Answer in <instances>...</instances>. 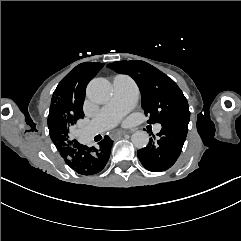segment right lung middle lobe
I'll return each instance as SVG.
<instances>
[{
  "mask_svg": "<svg viewBox=\"0 0 241 241\" xmlns=\"http://www.w3.org/2000/svg\"><path fill=\"white\" fill-rule=\"evenodd\" d=\"M102 67L103 64L98 62H89L81 63L72 69L55 89L49 114L69 122H77L83 118L86 86Z\"/></svg>",
  "mask_w": 241,
  "mask_h": 241,
  "instance_id": "dd1d6c3e",
  "label": "right lung middle lobe"
}]
</instances>
